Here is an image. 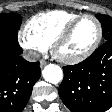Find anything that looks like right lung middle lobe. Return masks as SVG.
<instances>
[{"label": "right lung middle lobe", "instance_id": "obj_1", "mask_svg": "<svg viewBox=\"0 0 112 112\" xmlns=\"http://www.w3.org/2000/svg\"><path fill=\"white\" fill-rule=\"evenodd\" d=\"M19 14H0V41L18 44L17 31L21 25Z\"/></svg>", "mask_w": 112, "mask_h": 112}]
</instances>
